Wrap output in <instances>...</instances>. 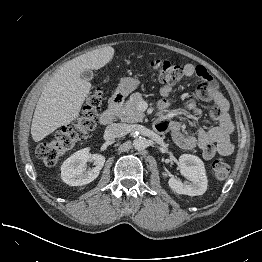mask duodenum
<instances>
[{
    "label": "duodenum",
    "mask_w": 262,
    "mask_h": 262,
    "mask_svg": "<svg viewBox=\"0 0 262 262\" xmlns=\"http://www.w3.org/2000/svg\"><path fill=\"white\" fill-rule=\"evenodd\" d=\"M122 103H123V96L121 94L117 93L113 95L108 102L107 109L100 116L101 124L103 125L110 124L118 114Z\"/></svg>",
    "instance_id": "410a0bca"
}]
</instances>
